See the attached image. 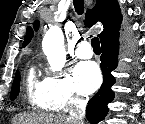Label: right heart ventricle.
Returning a JSON list of instances; mask_svg holds the SVG:
<instances>
[{"label":"right heart ventricle","mask_w":145,"mask_h":124,"mask_svg":"<svg viewBox=\"0 0 145 124\" xmlns=\"http://www.w3.org/2000/svg\"><path fill=\"white\" fill-rule=\"evenodd\" d=\"M26 99L30 106L41 110L57 109L48 98V93L43 82H38L33 70L29 71L26 78Z\"/></svg>","instance_id":"1"}]
</instances>
